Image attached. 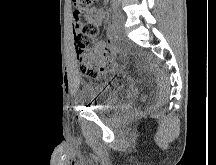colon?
<instances>
[{
    "mask_svg": "<svg viewBox=\"0 0 216 165\" xmlns=\"http://www.w3.org/2000/svg\"><path fill=\"white\" fill-rule=\"evenodd\" d=\"M79 12H87L99 0H72ZM97 35V26L86 23L75 36V50L78 63V71L81 76L88 79H95L102 72L112 67L111 51L99 53L94 50L95 37Z\"/></svg>",
    "mask_w": 216,
    "mask_h": 165,
    "instance_id": "1",
    "label": "colon"
}]
</instances>
